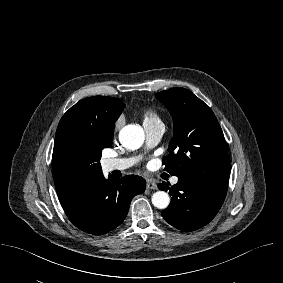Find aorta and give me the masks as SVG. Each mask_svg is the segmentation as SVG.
Instances as JSON below:
<instances>
[{"label": "aorta", "instance_id": "obj_1", "mask_svg": "<svg viewBox=\"0 0 283 283\" xmlns=\"http://www.w3.org/2000/svg\"><path fill=\"white\" fill-rule=\"evenodd\" d=\"M144 131L141 126L130 124L123 127L119 133L120 143L129 150L140 148L144 142ZM170 203L169 195L164 191H157L152 195V204L158 209H165Z\"/></svg>", "mask_w": 283, "mask_h": 283}]
</instances>
